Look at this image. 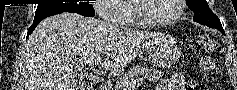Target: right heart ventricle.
Returning <instances> with one entry per match:
<instances>
[{"label": "right heart ventricle", "mask_w": 237, "mask_h": 90, "mask_svg": "<svg viewBox=\"0 0 237 90\" xmlns=\"http://www.w3.org/2000/svg\"><path fill=\"white\" fill-rule=\"evenodd\" d=\"M121 5V7H114V11H131L130 4ZM115 28H141V26L136 19H123L115 25Z\"/></svg>", "instance_id": "obj_1"}]
</instances>
